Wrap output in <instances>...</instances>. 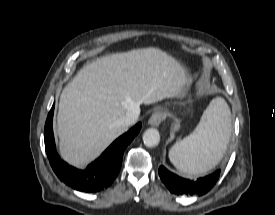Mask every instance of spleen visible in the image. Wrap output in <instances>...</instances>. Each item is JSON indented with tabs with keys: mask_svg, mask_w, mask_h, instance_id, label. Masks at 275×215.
Instances as JSON below:
<instances>
[{
	"mask_svg": "<svg viewBox=\"0 0 275 215\" xmlns=\"http://www.w3.org/2000/svg\"><path fill=\"white\" fill-rule=\"evenodd\" d=\"M230 134V109L224 99L215 98L204 111L193 133L170 149V161L181 172L204 174L222 159Z\"/></svg>",
	"mask_w": 275,
	"mask_h": 215,
	"instance_id": "3e777b00",
	"label": "spleen"
}]
</instances>
